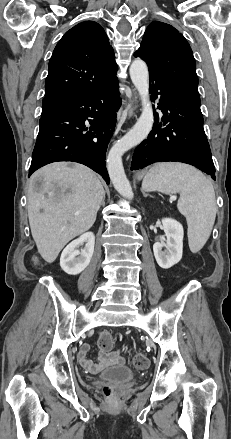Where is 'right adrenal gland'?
I'll return each instance as SVG.
<instances>
[{"instance_id":"1","label":"right adrenal gland","mask_w":231,"mask_h":439,"mask_svg":"<svg viewBox=\"0 0 231 439\" xmlns=\"http://www.w3.org/2000/svg\"><path fill=\"white\" fill-rule=\"evenodd\" d=\"M101 206H105V193H104V196H103V199H102V202H101Z\"/></svg>"}]
</instances>
